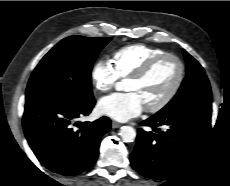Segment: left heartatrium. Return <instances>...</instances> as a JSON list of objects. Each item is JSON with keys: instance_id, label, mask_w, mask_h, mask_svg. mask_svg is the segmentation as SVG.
<instances>
[{"instance_id": "1", "label": "left heart atrium", "mask_w": 230, "mask_h": 186, "mask_svg": "<svg viewBox=\"0 0 230 186\" xmlns=\"http://www.w3.org/2000/svg\"><path fill=\"white\" fill-rule=\"evenodd\" d=\"M99 113L117 121H127L138 116L144 109L139 96L134 92L115 93L98 102Z\"/></svg>"}]
</instances>
